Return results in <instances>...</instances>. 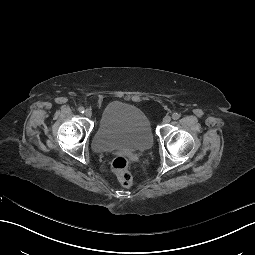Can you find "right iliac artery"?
Segmentation results:
<instances>
[{
    "mask_svg": "<svg viewBox=\"0 0 255 255\" xmlns=\"http://www.w3.org/2000/svg\"><path fill=\"white\" fill-rule=\"evenodd\" d=\"M78 111H79L80 113H84V107H82V106L79 107V108H78Z\"/></svg>",
    "mask_w": 255,
    "mask_h": 255,
    "instance_id": "1",
    "label": "right iliac artery"
}]
</instances>
